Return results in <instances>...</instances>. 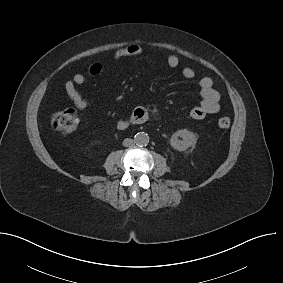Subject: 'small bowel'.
Instances as JSON below:
<instances>
[{
	"label": "small bowel",
	"mask_w": 283,
	"mask_h": 283,
	"mask_svg": "<svg viewBox=\"0 0 283 283\" xmlns=\"http://www.w3.org/2000/svg\"><path fill=\"white\" fill-rule=\"evenodd\" d=\"M143 52L142 46L138 44H129L118 49L114 55V60H121L123 58L140 55ZM166 63L171 68H176L179 65V58L176 55H168ZM103 71V63L101 59H97L89 66V73L93 76L101 74ZM182 75L186 79H193L195 77L194 69L185 67L182 70ZM86 77L83 73H76L71 79L65 83V90L69 98L73 101L75 106L79 109H86L90 106V102L84 98L77 89V86L83 85ZM200 93L202 100L199 105L192 108L190 116L194 120H202L206 116L215 114L220 110L221 96L214 87L213 80L209 77H203L199 81ZM156 113V109L151 106H138L132 114L131 120L134 123L145 122L151 114Z\"/></svg>",
	"instance_id": "obj_1"
}]
</instances>
